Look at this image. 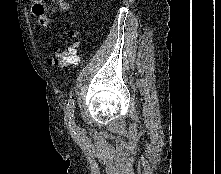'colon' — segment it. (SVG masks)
Here are the masks:
<instances>
[{
	"label": "colon",
	"instance_id": "colon-1",
	"mask_svg": "<svg viewBox=\"0 0 221 174\" xmlns=\"http://www.w3.org/2000/svg\"><path fill=\"white\" fill-rule=\"evenodd\" d=\"M80 59L77 54V45L71 44L64 49L57 50L50 58V63L61 67L67 68L75 66L79 63Z\"/></svg>",
	"mask_w": 221,
	"mask_h": 174
}]
</instances>
